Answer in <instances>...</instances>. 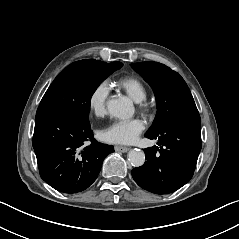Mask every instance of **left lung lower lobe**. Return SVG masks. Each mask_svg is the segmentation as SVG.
Instances as JSON below:
<instances>
[{
	"mask_svg": "<svg viewBox=\"0 0 239 239\" xmlns=\"http://www.w3.org/2000/svg\"><path fill=\"white\" fill-rule=\"evenodd\" d=\"M201 119L198 112L184 113L166 122L158 132L145 136L158 139L144 149L146 162L132 170L135 182L155 194L172 193L193 176L201 150Z\"/></svg>",
	"mask_w": 239,
	"mask_h": 239,
	"instance_id": "1",
	"label": "left lung lower lobe"
}]
</instances>
